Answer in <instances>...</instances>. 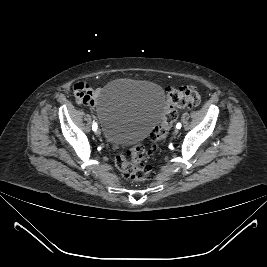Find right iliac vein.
<instances>
[{
  "label": "right iliac vein",
  "instance_id": "right-iliac-vein-1",
  "mask_svg": "<svg viewBox=\"0 0 267 267\" xmlns=\"http://www.w3.org/2000/svg\"><path fill=\"white\" fill-rule=\"evenodd\" d=\"M95 134H96V136L99 137V136L101 135V130H100V129L96 130V131H95Z\"/></svg>",
  "mask_w": 267,
  "mask_h": 267
}]
</instances>
